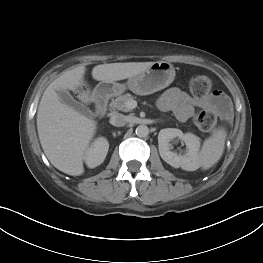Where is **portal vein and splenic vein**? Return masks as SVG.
Listing matches in <instances>:
<instances>
[{"label": "portal vein and splenic vein", "mask_w": 263, "mask_h": 263, "mask_svg": "<svg viewBox=\"0 0 263 263\" xmlns=\"http://www.w3.org/2000/svg\"><path fill=\"white\" fill-rule=\"evenodd\" d=\"M126 106L131 110V109H134L136 108L137 106V102L135 100H131V101H128L126 103Z\"/></svg>", "instance_id": "1"}]
</instances>
